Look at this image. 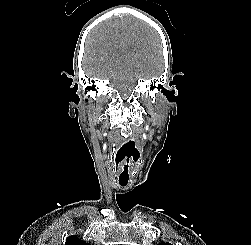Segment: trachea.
Returning a JSON list of instances; mask_svg holds the SVG:
<instances>
[{
	"label": "trachea",
	"mask_w": 251,
	"mask_h": 245,
	"mask_svg": "<svg viewBox=\"0 0 251 245\" xmlns=\"http://www.w3.org/2000/svg\"><path fill=\"white\" fill-rule=\"evenodd\" d=\"M121 186H125L126 184L125 183H120Z\"/></svg>",
	"instance_id": "1"
}]
</instances>
